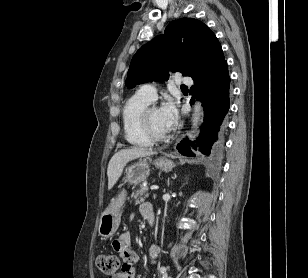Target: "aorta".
<instances>
[{"label":"aorta","mask_w":308,"mask_h":278,"mask_svg":"<svg viewBox=\"0 0 308 278\" xmlns=\"http://www.w3.org/2000/svg\"><path fill=\"white\" fill-rule=\"evenodd\" d=\"M200 114H201V104L199 102H196L195 106H194V113H193V118H192V122H193L194 127L198 123V120L200 118Z\"/></svg>","instance_id":"obj_1"}]
</instances>
